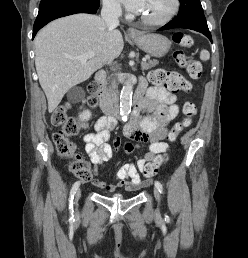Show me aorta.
I'll return each mask as SVG.
<instances>
[{"mask_svg":"<svg viewBox=\"0 0 248 258\" xmlns=\"http://www.w3.org/2000/svg\"><path fill=\"white\" fill-rule=\"evenodd\" d=\"M133 83L130 76L126 78L120 94V115L126 121L132 106Z\"/></svg>","mask_w":248,"mask_h":258,"instance_id":"1","label":"aorta"}]
</instances>
